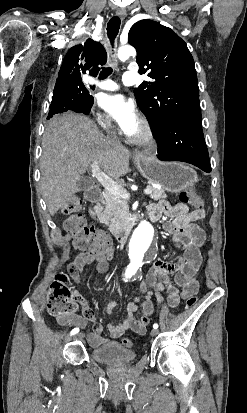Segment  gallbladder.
Here are the masks:
<instances>
[{
  "mask_svg": "<svg viewBox=\"0 0 247 413\" xmlns=\"http://www.w3.org/2000/svg\"><path fill=\"white\" fill-rule=\"evenodd\" d=\"M92 184L93 180H91L90 176H80L79 180H77L79 190H85V188H89Z\"/></svg>",
  "mask_w": 247,
  "mask_h": 413,
  "instance_id": "obj_1",
  "label": "gallbladder"
}]
</instances>
